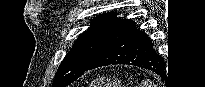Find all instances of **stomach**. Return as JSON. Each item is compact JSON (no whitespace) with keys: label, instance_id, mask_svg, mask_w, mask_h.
<instances>
[{"label":"stomach","instance_id":"obj_1","mask_svg":"<svg viewBox=\"0 0 205 87\" xmlns=\"http://www.w3.org/2000/svg\"><path fill=\"white\" fill-rule=\"evenodd\" d=\"M120 79H99L93 84V87H124Z\"/></svg>","mask_w":205,"mask_h":87}]
</instances>
